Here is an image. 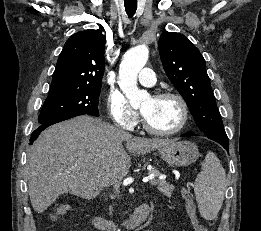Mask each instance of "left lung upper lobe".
I'll return each mask as SVG.
<instances>
[{
	"label": "left lung upper lobe",
	"instance_id": "left-lung-upper-lobe-1",
	"mask_svg": "<svg viewBox=\"0 0 261 231\" xmlns=\"http://www.w3.org/2000/svg\"><path fill=\"white\" fill-rule=\"evenodd\" d=\"M159 52L168 78L187 102L199 129L208 138L228 141L200 51L184 35L164 31Z\"/></svg>",
	"mask_w": 261,
	"mask_h": 231
}]
</instances>
